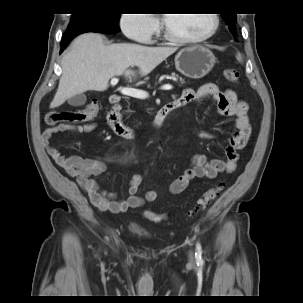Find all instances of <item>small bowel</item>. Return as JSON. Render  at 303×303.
Here are the masks:
<instances>
[{
  "instance_id": "small-bowel-1",
  "label": "small bowel",
  "mask_w": 303,
  "mask_h": 303,
  "mask_svg": "<svg viewBox=\"0 0 303 303\" xmlns=\"http://www.w3.org/2000/svg\"><path fill=\"white\" fill-rule=\"evenodd\" d=\"M207 98L216 103L220 116L235 115L234 130L230 134L228 146L222 159L207 160L203 154L193 156L191 167L171 182L169 191L173 195L183 192L195 178L215 179L220 173L234 172L239 160L238 151L246 146L250 138L252 129L248 120L246 106L241 100H238L235 92L231 89L222 90L216 84L206 83L196 89H184L176 101L182 107L191 102H201ZM96 127V123H88L84 125L60 124L53 128H47L42 133L43 145L53 161L63 168L67 174L76 178L78 184L88 194L91 202L100 210L121 213L128 209L141 208L146 202L154 201L157 198L155 191L146 192L144 198L137 195L142 183L140 174H133L128 180L129 197L123 201L116 200L114 193L102 190L95 180V177L106 170L104 161L83 158L77 155L65 157L51 143V138L56 133L64 131L88 133L96 129ZM197 134L205 140L215 138L214 133L204 130H198Z\"/></svg>"
}]
</instances>
